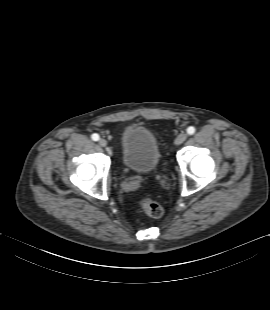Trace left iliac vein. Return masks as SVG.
Masks as SVG:
<instances>
[{
  "label": "left iliac vein",
  "mask_w": 270,
  "mask_h": 310,
  "mask_svg": "<svg viewBox=\"0 0 270 310\" xmlns=\"http://www.w3.org/2000/svg\"><path fill=\"white\" fill-rule=\"evenodd\" d=\"M187 139V134L181 133L179 134L176 139L174 140L175 145H180L182 144L185 140Z\"/></svg>",
  "instance_id": "left-iliac-vein-1"
}]
</instances>
